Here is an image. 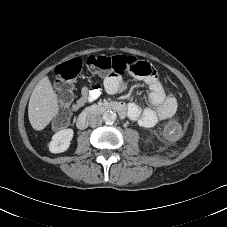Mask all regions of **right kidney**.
<instances>
[{
  "mask_svg": "<svg viewBox=\"0 0 227 227\" xmlns=\"http://www.w3.org/2000/svg\"><path fill=\"white\" fill-rule=\"evenodd\" d=\"M74 131L72 129H63L55 133L52 140L48 144L51 153L65 152L73 138Z\"/></svg>",
  "mask_w": 227,
  "mask_h": 227,
  "instance_id": "1",
  "label": "right kidney"
}]
</instances>
